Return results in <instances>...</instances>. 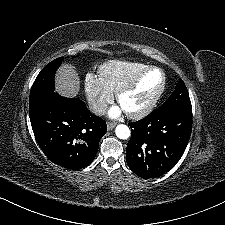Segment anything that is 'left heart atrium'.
Segmentation results:
<instances>
[{
    "label": "left heart atrium",
    "instance_id": "39dd6f15",
    "mask_svg": "<svg viewBox=\"0 0 225 225\" xmlns=\"http://www.w3.org/2000/svg\"><path fill=\"white\" fill-rule=\"evenodd\" d=\"M121 111H122V108L114 106L109 110V115L111 117H117L121 114Z\"/></svg>",
    "mask_w": 225,
    "mask_h": 225
}]
</instances>
